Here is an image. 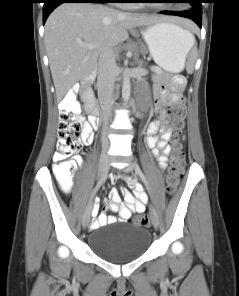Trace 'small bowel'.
<instances>
[{
    "mask_svg": "<svg viewBox=\"0 0 239 296\" xmlns=\"http://www.w3.org/2000/svg\"><path fill=\"white\" fill-rule=\"evenodd\" d=\"M185 81L175 79L174 86L170 91L167 86H160L155 93V107L154 110L159 113L157 119L150 122L146 127V145L152 149L153 155L158 161L161 169L166 167L167 156L170 153V146L168 144L171 135L172 127L167 119L165 106L167 103H178L181 101V91L184 87ZM77 120L82 123L81 139L84 144H91L94 140V129L90 122H85L83 116H78ZM80 160V158H78ZM119 174H112L111 182H116L119 179ZM128 186L122 188L120 192L112 189L110 192L111 201L107 206L108 211L117 212L118 218L115 216H108L106 213L98 214V205L95 204V216L92 228H98L107 224L115 222H127L133 213H142L145 211L144 202L148 201L147 193L141 185L137 184L134 179L127 177ZM121 194L124 197L126 205L121 203Z\"/></svg>",
    "mask_w": 239,
    "mask_h": 296,
    "instance_id": "obj_1",
    "label": "small bowel"
}]
</instances>
